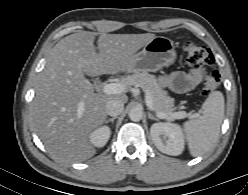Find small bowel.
Returning a JSON list of instances; mask_svg holds the SVG:
<instances>
[{"label":"small bowel","instance_id":"1","mask_svg":"<svg viewBox=\"0 0 248 195\" xmlns=\"http://www.w3.org/2000/svg\"><path fill=\"white\" fill-rule=\"evenodd\" d=\"M203 77L202 69H192L188 72H174L163 76L160 81L176 93H183L198 85Z\"/></svg>","mask_w":248,"mask_h":195}]
</instances>
